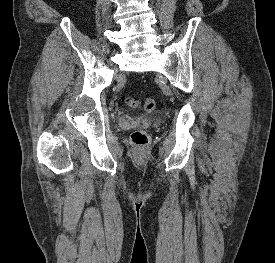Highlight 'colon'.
I'll return each mask as SVG.
<instances>
[{"label":"colon","instance_id":"obj_1","mask_svg":"<svg viewBox=\"0 0 275 263\" xmlns=\"http://www.w3.org/2000/svg\"><path fill=\"white\" fill-rule=\"evenodd\" d=\"M124 101L127 105L140 108L145 113H152L156 109V101L153 98H145L142 101L132 96H125ZM131 142L134 146L145 147L150 143V135L144 130L134 131L131 135Z\"/></svg>","mask_w":275,"mask_h":263}]
</instances>
